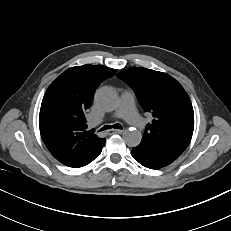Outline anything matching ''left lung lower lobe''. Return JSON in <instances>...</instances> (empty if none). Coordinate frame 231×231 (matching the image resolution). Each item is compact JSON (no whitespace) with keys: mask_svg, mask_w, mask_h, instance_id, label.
<instances>
[{"mask_svg":"<svg viewBox=\"0 0 231 231\" xmlns=\"http://www.w3.org/2000/svg\"><path fill=\"white\" fill-rule=\"evenodd\" d=\"M182 153L166 144L141 141V143L132 148V157L141 165L150 169H160L171 164Z\"/></svg>","mask_w":231,"mask_h":231,"instance_id":"left-lung-lower-lobe-1","label":"left lung lower lobe"}]
</instances>
